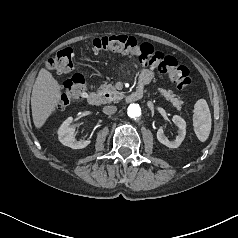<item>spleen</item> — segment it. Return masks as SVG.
<instances>
[{"label": "spleen", "mask_w": 238, "mask_h": 238, "mask_svg": "<svg viewBox=\"0 0 238 238\" xmlns=\"http://www.w3.org/2000/svg\"><path fill=\"white\" fill-rule=\"evenodd\" d=\"M212 125L211 113L205 99H199L194 105L193 128L197 138L205 142Z\"/></svg>", "instance_id": "3e777b00"}]
</instances>
